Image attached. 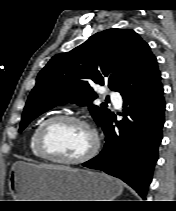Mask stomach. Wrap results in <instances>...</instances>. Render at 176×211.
Segmentation results:
<instances>
[{
    "instance_id": "obj_1",
    "label": "stomach",
    "mask_w": 176,
    "mask_h": 211,
    "mask_svg": "<svg viewBox=\"0 0 176 211\" xmlns=\"http://www.w3.org/2000/svg\"><path fill=\"white\" fill-rule=\"evenodd\" d=\"M15 201H113L122 183L104 173L16 162L8 179Z\"/></svg>"
}]
</instances>
